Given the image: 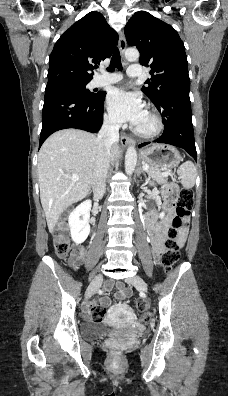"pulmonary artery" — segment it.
I'll return each instance as SVG.
<instances>
[{"label": "pulmonary artery", "instance_id": "obj_1", "mask_svg": "<svg viewBox=\"0 0 228 396\" xmlns=\"http://www.w3.org/2000/svg\"><path fill=\"white\" fill-rule=\"evenodd\" d=\"M127 75L132 78L141 77L142 71L139 65H130L127 70ZM122 79V75L118 73L114 74H101L94 78V86H104L109 84L118 83Z\"/></svg>", "mask_w": 228, "mask_h": 396}]
</instances>
